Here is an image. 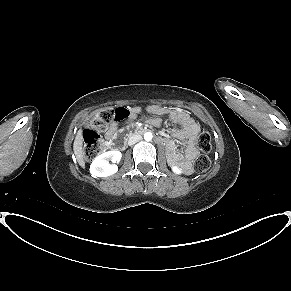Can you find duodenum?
Wrapping results in <instances>:
<instances>
[{
    "mask_svg": "<svg viewBox=\"0 0 291 291\" xmlns=\"http://www.w3.org/2000/svg\"><path fill=\"white\" fill-rule=\"evenodd\" d=\"M134 133H137L138 135L150 133V128H145L142 123L128 125L122 132H119L110 143V150L117 153L124 151L126 147L125 140L130 138ZM154 140L155 142H162V137L154 135Z\"/></svg>",
    "mask_w": 291,
    "mask_h": 291,
    "instance_id": "410a0bca",
    "label": "duodenum"
}]
</instances>
